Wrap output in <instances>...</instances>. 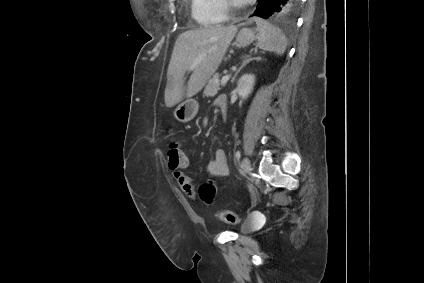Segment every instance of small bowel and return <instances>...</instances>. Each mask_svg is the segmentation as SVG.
<instances>
[{
    "label": "small bowel",
    "instance_id": "1",
    "mask_svg": "<svg viewBox=\"0 0 424 283\" xmlns=\"http://www.w3.org/2000/svg\"><path fill=\"white\" fill-rule=\"evenodd\" d=\"M224 97H219L216 101V104L219 105L220 100ZM183 152V150H182ZM184 154V164L180 165L177 168H172L169 166V168L173 171L172 175L179 187L182 189L184 194L194 199L196 196V188L191 179L185 174L183 171L184 168L188 166V158L186 154ZM207 173L210 176H219V177H225L229 173V165L226 153L223 149H217L214 153V158L211 160L207 165Z\"/></svg>",
    "mask_w": 424,
    "mask_h": 283
}]
</instances>
